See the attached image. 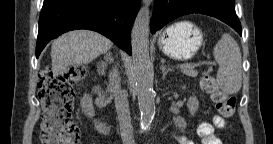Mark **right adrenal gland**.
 Wrapping results in <instances>:
<instances>
[{
    "mask_svg": "<svg viewBox=\"0 0 273 144\" xmlns=\"http://www.w3.org/2000/svg\"><path fill=\"white\" fill-rule=\"evenodd\" d=\"M114 62V59L112 57V53L111 52H108L106 53L105 57H104V61H100L98 63V72L101 74V75H105V71H106V68H107V64L108 63H113Z\"/></svg>",
    "mask_w": 273,
    "mask_h": 144,
    "instance_id": "1",
    "label": "right adrenal gland"
}]
</instances>
